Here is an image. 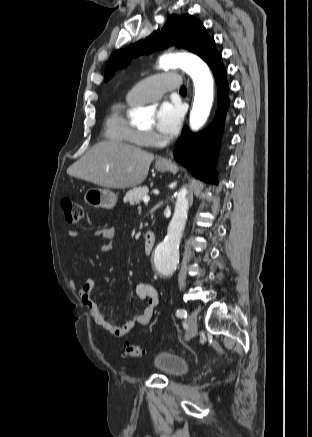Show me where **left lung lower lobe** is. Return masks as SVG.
<instances>
[{
	"label": "left lung lower lobe",
	"instance_id": "1",
	"mask_svg": "<svg viewBox=\"0 0 312 437\" xmlns=\"http://www.w3.org/2000/svg\"><path fill=\"white\" fill-rule=\"evenodd\" d=\"M213 71L218 88V108L214 122L201 133H191L185 127L174 151V157L195 177L205 182L216 183L212 162L215 159L222 134L224 119L229 106L226 69L221 55L217 52L207 62Z\"/></svg>",
	"mask_w": 312,
	"mask_h": 437
}]
</instances>
